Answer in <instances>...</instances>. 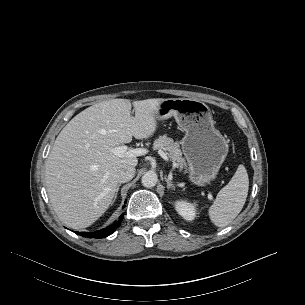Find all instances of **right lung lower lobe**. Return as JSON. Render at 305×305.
Returning a JSON list of instances; mask_svg holds the SVG:
<instances>
[{
    "instance_id": "obj_1",
    "label": "right lung lower lobe",
    "mask_w": 305,
    "mask_h": 305,
    "mask_svg": "<svg viewBox=\"0 0 305 305\" xmlns=\"http://www.w3.org/2000/svg\"><path fill=\"white\" fill-rule=\"evenodd\" d=\"M123 219V214L119 217V221L114 223L108 228L101 229L95 232H77V234H80L81 236L88 237V238H105L108 235L112 234L121 224V221Z\"/></svg>"
}]
</instances>
